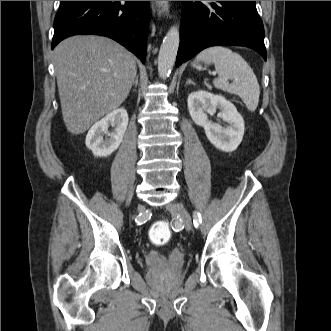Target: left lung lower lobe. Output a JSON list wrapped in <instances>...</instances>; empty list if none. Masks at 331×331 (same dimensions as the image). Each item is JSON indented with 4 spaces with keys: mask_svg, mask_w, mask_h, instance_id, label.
<instances>
[{
    "mask_svg": "<svg viewBox=\"0 0 331 331\" xmlns=\"http://www.w3.org/2000/svg\"><path fill=\"white\" fill-rule=\"evenodd\" d=\"M215 45L246 46L266 61L255 1H184L176 66Z\"/></svg>",
    "mask_w": 331,
    "mask_h": 331,
    "instance_id": "1",
    "label": "left lung lower lobe"
}]
</instances>
